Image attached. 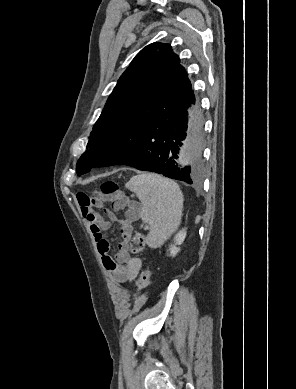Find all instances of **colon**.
<instances>
[{
  "label": "colon",
  "instance_id": "colon-1",
  "mask_svg": "<svg viewBox=\"0 0 296 389\" xmlns=\"http://www.w3.org/2000/svg\"><path fill=\"white\" fill-rule=\"evenodd\" d=\"M102 198L105 202L112 205L118 204L123 197L119 190V186L114 181H105L101 185ZM129 248L133 254L141 253L145 249V236L142 232L137 231L133 234L129 241ZM151 284V271L144 269L141 271L138 279V289L144 291Z\"/></svg>",
  "mask_w": 296,
  "mask_h": 389
}]
</instances>
